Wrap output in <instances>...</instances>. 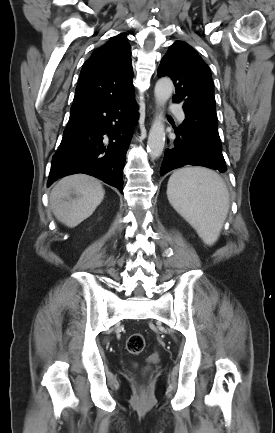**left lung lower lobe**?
<instances>
[{"instance_id": "0a47b994", "label": "left lung lower lobe", "mask_w": 275, "mask_h": 433, "mask_svg": "<svg viewBox=\"0 0 275 433\" xmlns=\"http://www.w3.org/2000/svg\"><path fill=\"white\" fill-rule=\"evenodd\" d=\"M176 139L172 149L165 151L160 174L183 167L185 165L204 166L226 172L227 167L219 165L210 150L195 135L175 129Z\"/></svg>"}]
</instances>
